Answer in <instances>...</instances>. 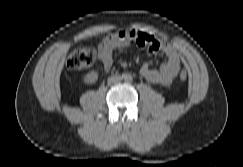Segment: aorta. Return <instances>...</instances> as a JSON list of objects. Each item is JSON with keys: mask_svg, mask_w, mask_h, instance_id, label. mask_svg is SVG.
I'll return each mask as SVG.
<instances>
[{"mask_svg": "<svg viewBox=\"0 0 243 167\" xmlns=\"http://www.w3.org/2000/svg\"><path fill=\"white\" fill-rule=\"evenodd\" d=\"M131 77L130 76H124V79H130Z\"/></svg>", "mask_w": 243, "mask_h": 167, "instance_id": "obj_1", "label": "aorta"}]
</instances>
